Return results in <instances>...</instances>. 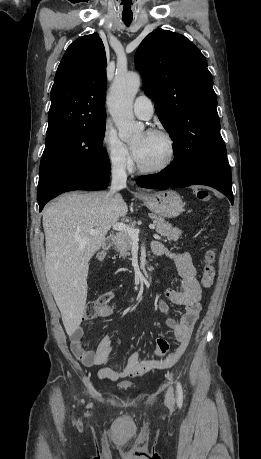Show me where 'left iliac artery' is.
<instances>
[{"instance_id":"obj_1","label":"left iliac artery","mask_w":261,"mask_h":459,"mask_svg":"<svg viewBox=\"0 0 261 459\" xmlns=\"http://www.w3.org/2000/svg\"><path fill=\"white\" fill-rule=\"evenodd\" d=\"M177 404L179 406H182V403H183V389H182V386L180 384V382L177 383Z\"/></svg>"}]
</instances>
